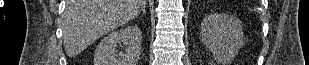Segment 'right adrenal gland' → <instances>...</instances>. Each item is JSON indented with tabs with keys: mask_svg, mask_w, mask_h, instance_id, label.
Returning a JSON list of instances; mask_svg holds the SVG:
<instances>
[{
	"mask_svg": "<svg viewBox=\"0 0 309 65\" xmlns=\"http://www.w3.org/2000/svg\"><path fill=\"white\" fill-rule=\"evenodd\" d=\"M142 12L146 15V7L143 8Z\"/></svg>",
	"mask_w": 309,
	"mask_h": 65,
	"instance_id": "1",
	"label": "right adrenal gland"
}]
</instances>
